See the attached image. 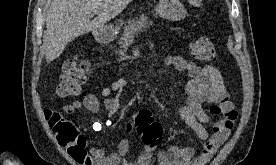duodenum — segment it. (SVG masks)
<instances>
[{
	"label": "duodenum",
	"mask_w": 276,
	"mask_h": 165,
	"mask_svg": "<svg viewBox=\"0 0 276 165\" xmlns=\"http://www.w3.org/2000/svg\"><path fill=\"white\" fill-rule=\"evenodd\" d=\"M98 39L101 43H107L110 41V37L109 35L105 34V33H100L98 35Z\"/></svg>",
	"instance_id": "obj_1"
}]
</instances>
